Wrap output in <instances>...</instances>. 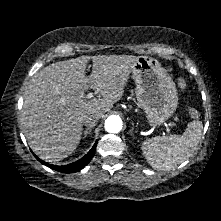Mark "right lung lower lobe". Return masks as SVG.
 <instances>
[{
	"instance_id": "98d812e1",
	"label": "right lung lower lobe",
	"mask_w": 221,
	"mask_h": 221,
	"mask_svg": "<svg viewBox=\"0 0 221 221\" xmlns=\"http://www.w3.org/2000/svg\"><path fill=\"white\" fill-rule=\"evenodd\" d=\"M97 142H95L94 146L90 149V151L81 159L77 160L76 162L63 165V166H56V165H51L43 160L38 159L42 164L46 165L47 167H50L56 171L62 172V173H74L78 172L79 170L83 169L92 159L95 150H96Z\"/></svg>"
}]
</instances>
